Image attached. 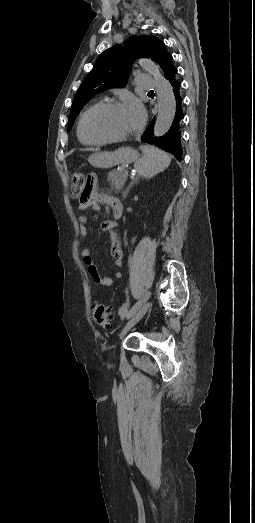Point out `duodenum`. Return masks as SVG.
I'll use <instances>...</instances> for the list:
<instances>
[{
	"label": "duodenum",
	"mask_w": 255,
	"mask_h": 523,
	"mask_svg": "<svg viewBox=\"0 0 255 523\" xmlns=\"http://www.w3.org/2000/svg\"><path fill=\"white\" fill-rule=\"evenodd\" d=\"M107 202L113 210L114 217L119 219L123 213V205L121 201L117 198L109 197Z\"/></svg>",
	"instance_id": "obj_1"
}]
</instances>
